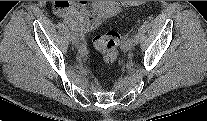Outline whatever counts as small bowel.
Masks as SVG:
<instances>
[{
    "mask_svg": "<svg viewBox=\"0 0 207 121\" xmlns=\"http://www.w3.org/2000/svg\"><path fill=\"white\" fill-rule=\"evenodd\" d=\"M54 9L58 16L75 24L82 35L97 26V21L90 14L85 1H56Z\"/></svg>",
    "mask_w": 207,
    "mask_h": 121,
    "instance_id": "c3829d8e",
    "label": "small bowel"
}]
</instances>
